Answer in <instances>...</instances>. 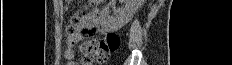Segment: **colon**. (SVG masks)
<instances>
[{
    "label": "colon",
    "instance_id": "1",
    "mask_svg": "<svg viewBox=\"0 0 232 65\" xmlns=\"http://www.w3.org/2000/svg\"><path fill=\"white\" fill-rule=\"evenodd\" d=\"M91 3H98L99 0H91ZM84 17L83 12H78L71 19V24L67 28L68 35L76 32L79 23ZM120 38L115 33H108L104 38L97 41H88L82 45L85 59L90 63L103 62L111 52L118 49Z\"/></svg>",
    "mask_w": 232,
    "mask_h": 65
}]
</instances>
